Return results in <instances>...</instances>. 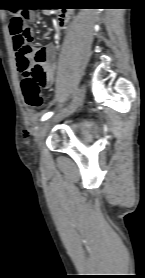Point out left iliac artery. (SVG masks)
Listing matches in <instances>:
<instances>
[{
  "label": "left iliac artery",
  "instance_id": "left-iliac-artery-1",
  "mask_svg": "<svg viewBox=\"0 0 145 278\" xmlns=\"http://www.w3.org/2000/svg\"><path fill=\"white\" fill-rule=\"evenodd\" d=\"M54 113L53 112H47L43 115L41 121H45L47 119H49Z\"/></svg>",
  "mask_w": 145,
  "mask_h": 278
}]
</instances>
